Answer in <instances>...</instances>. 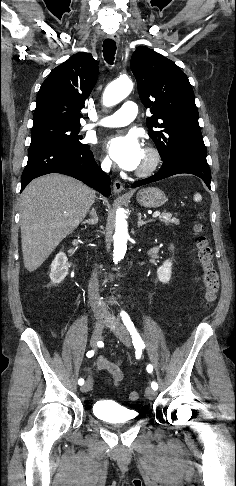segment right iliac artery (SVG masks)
<instances>
[{
    "label": "right iliac artery",
    "mask_w": 236,
    "mask_h": 486,
    "mask_svg": "<svg viewBox=\"0 0 236 486\" xmlns=\"http://www.w3.org/2000/svg\"><path fill=\"white\" fill-rule=\"evenodd\" d=\"M86 355H87L88 358H90V357H92L94 355V351L93 350H90V351L87 352ZM78 384L79 385H83L84 384V379L80 378L78 380Z\"/></svg>",
    "instance_id": "1"
}]
</instances>
